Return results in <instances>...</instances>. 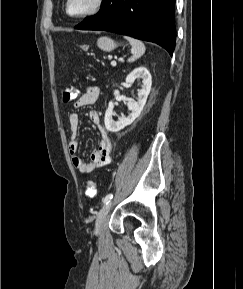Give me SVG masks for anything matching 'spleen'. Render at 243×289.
Segmentation results:
<instances>
[{"label": "spleen", "mask_w": 243, "mask_h": 289, "mask_svg": "<svg viewBox=\"0 0 243 289\" xmlns=\"http://www.w3.org/2000/svg\"><path fill=\"white\" fill-rule=\"evenodd\" d=\"M131 45V52H132V57L128 59V62H134L138 58H140L144 53H145V45L137 39L131 38V37H125Z\"/></svg>", "instance_id": "1"}]
</instances>
